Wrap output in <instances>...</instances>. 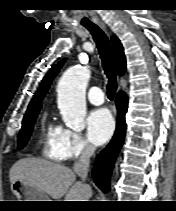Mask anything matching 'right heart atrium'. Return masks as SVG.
I'll return each mask as SVG.
<instances>
[{
  "mask_svg": "<svg viewBox=\"0 0 176 211\" xmlns=\"http://www.w3.org/2000/svg\"><path fill=\"white\" fill-rule=\"evenodd\" d=\"M60 147L65 160L81 158L93 150L83 135L70 129H64Z\"/></svg>",
  "mask_w": 176,
  "mask_h": 211,
  "instance_id": "1",
  "label": "right heart atrium"
}]
</instances>
